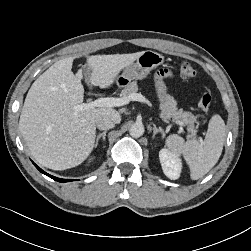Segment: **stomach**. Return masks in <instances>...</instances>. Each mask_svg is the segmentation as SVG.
<instances>
[{"label":"stomach","mask_w":251,"mask_h":251,"mask_svg":"<svg viewBox=\"0 0 251 251\" xmlns=\"http://www.w3.org/2000/svg\"><path fill=\"white\" fill-rule=\"evenodd\" d=\"M164 57L154 51L147 50L136 59V62L126 66L116 82L119 86L127 85L131 80H141L147 77L150 71L162 65Z\"/></svg>","instance_id":"stomach-1"}]
</instances>
